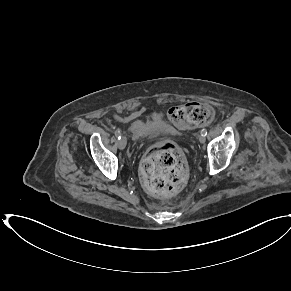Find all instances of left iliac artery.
<instances>
[{"mask_svg": "<svg viewBox=\"0 0 291 291\" xmlns=\"http://www.w3.org/2000/svg\"><path fill=\"white\" fill-rule=\"evenodd\" d=\"M201 133H202L204 136H206V135H207V129L203 128V129L201 130Z\"/></svg>", "mask_w": 291, "mask_h": 291, "instance_id": "obj_1", "label": "left iliac artery"}]
</instances>
